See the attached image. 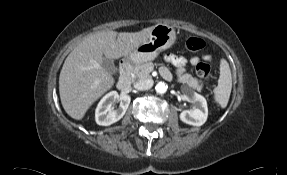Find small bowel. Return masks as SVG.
Instances as JSON below:
<instances>
[{
    "label": "small bowel",
    "instance_id": "obj_1",
    "mask_svg": "<svg viewBox=\"0 0 287 175\" xmlns=\"http://www.w3.org/2000/svg\"><path fill=\"white\" fill-rule=\"evenodd\" d=\"M165 59L168 62L172 63L177 68V72L178 73H182L183 72L184 66L187 63V60L184 57L179 56V55H174V54H167L165 56ZM204 59L210 60L211 57L210 56H205ZM198 62H199V58L198 57H193L191 59V63L193 65H196ZM160 72L166 79H170L171 78V75H170L169 71L166 68L162 67L160 69Z\"/></svg>",
    "mask_w": 287,
    "mask_h": 175
}]
</instances>
